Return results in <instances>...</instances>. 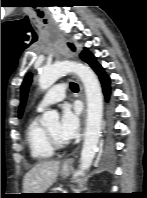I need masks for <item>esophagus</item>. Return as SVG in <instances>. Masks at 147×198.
I'll list each match as a JSON object with an SVG mask.
<instances>
[{
    "mask_svg": "<svg viewBox=\"0 0 147 198\" xmlns=\"http://www.w3.org/2000/svg\"><path fill=\"white\" fill-rule=\"evenodd\" d=\"M72 164H73V158H69V159L65 160L63 165L65 167H70Z\"/></svg>",
    "mask_w": 147,
    "mask_h": 198,
    "instance_id": "1",
    "label": "esophagus"
}]
</instances>
